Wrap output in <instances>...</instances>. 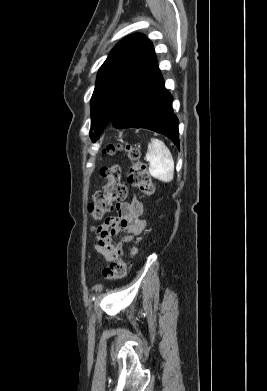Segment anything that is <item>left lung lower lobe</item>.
<instances>
[{
	"label": "left lung lower lobe",
	"instance_id": "obj_1",
	"mask_svg": "<svg viewBox=\"0 0 267 391\" xmlns=\"http://www.w3.org/2000/svg\"><path fill=\"white\" fill-rule=\"evenodd\" d=\"M172 100L156 64L123 99L110 123L116 128L153 130L179 148L178 119L173 113Z\"/></svg>",
	"mask_w": 267,
	"mask_h": 391
}]
</instances>
